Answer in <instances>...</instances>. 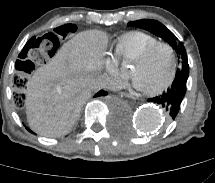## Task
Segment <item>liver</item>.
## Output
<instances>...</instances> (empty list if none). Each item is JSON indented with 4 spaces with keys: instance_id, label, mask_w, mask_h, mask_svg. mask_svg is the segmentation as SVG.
<instances>
[{
    "instance_id": "obj_1",
    "label": "liver",
    "mask_w": 215,
    "mask_h": 183,
    "mask_svg": "<svg viewBox=\"0 0 215 183\" xmlns=\"http://www.w3.org/2000/svg\"><path fill=\"white\" fill-rule=\"evenodd\" d=\"M107 35L98 30L76 34L52 60L38 68L26 86V115L30 128L45 137L71 131L101 76Z\"/></svg>"
}]
</instances>
